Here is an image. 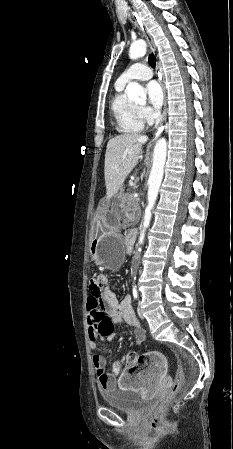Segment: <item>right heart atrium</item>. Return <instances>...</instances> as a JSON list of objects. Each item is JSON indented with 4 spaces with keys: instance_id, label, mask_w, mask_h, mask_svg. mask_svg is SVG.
<instances>
[{
    "instance_id": "d8ad5b80",
    "label": "right heart atrium",
    "mask_w": 233,
    "mask_h": 449,
    "mask_svg": "<svg viewBox=\"0 0 233 449\" xmlns=\"http://www.w3.org/2000/svg\"><path fill=\"white\" fill-rule=\"evenodd\" d=\"M139 109H140V113H141L143 119L146 122L152 123L153 121H155L157 119V114L149 107L142 106Z\"/></svg>"
}]
</instances>
